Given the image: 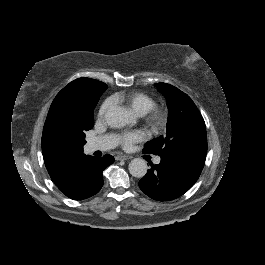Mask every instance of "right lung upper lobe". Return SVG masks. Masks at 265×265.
<instances>
[{
	"label": "right lung upper lobe",
	"instance_id": "1",
	"mask_svg": "<svg viewBox=\"0 0 265 265\" xmlns=\"http://www.w3.org/2000/svg\"><path fill=\"white\" fill-rule=\"evenodd\" d=\"M106 87L105 83L94 79L78 78L66 85L53 100L41 140L44 163L52 180L59 178L84 155L83 151L71 149L60 139L72 101L80 95Z\"/></svg>",
	"mask_w": 265,
	"mask_h": 265
}]
</instances>
